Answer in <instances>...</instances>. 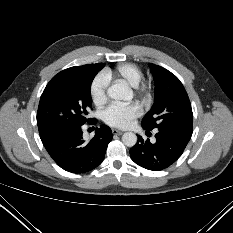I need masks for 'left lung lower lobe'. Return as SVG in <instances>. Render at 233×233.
I'll return each instance as SVG.
<instances>
[{"label":"left lung lower lobe","instance_id":"0a47b994","mask_svg":"<svg viewBox=\"0 0 233 233\" xmlns=\"http://www.w3.org/2000/svg\"><path fill=\"white\" fill-rule=\"evenodd\" d=\"M147 130V129H145ZM156 142L138 137L130 149L131 159L141 167L152 171L163 170L172 165L183 153L191 135L178 131H159Z\"/></svg>","mask_w":233,"mask_h":233}]
</instances>
